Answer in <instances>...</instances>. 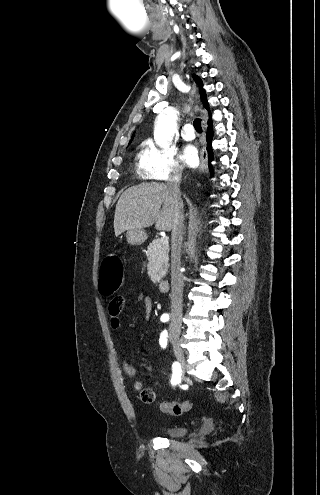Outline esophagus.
<instances>
[{"label": "esophagus", "mask_w": 320, "mask_h": 495, "mask_svg": "<svg viewBox=\"0 0 320 495\" xmlns=\"http://www.w3.org/2000/svg\"><path fill=\"white\" fill-rule=\"evenodd\" d=\"M200 160L199 170L203 172L207 168V151L205 148L201 149Z\"/></svg>", "instance_id": "obj_1"}]
</instances>
